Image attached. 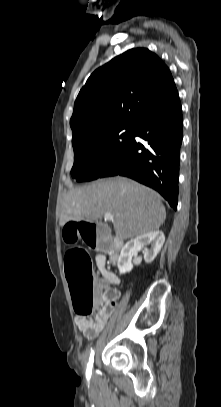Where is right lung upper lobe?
<instances>
[{
	"instance_id": "cb5924a9",
	"label": "right lung upper lobe",
	"mask_w": 221,
	"mask_h": 407,
	"mask_svg": "<svg viewBox=\"0 0 221 407\" xmlns=\"http://www.w3.org/2000/svg\"><path fill=\"white\" fill-rule=\"evenodd\" d=\"M176 90L169 68L146 48L126 51L95 70L79 92L70 119L72 144L126 124L161 105Z\"/></svg>"
}]
</instances>
